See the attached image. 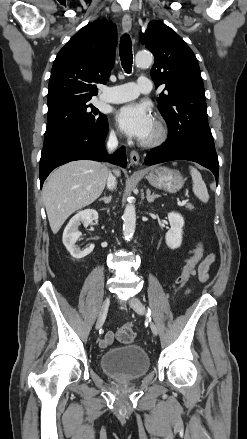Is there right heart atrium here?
<instances>
[{
  "instance_id": "d8ad5b80",
  "label": "right heart atrium",
  "mask_w": 247,
  "mask_h": 439,
  "mask_svg": "<svg viewBox=\"0 0 247 439\" xmlns=\"http://www.w3.org/2000/svg\"><path fill=\"white\" fill-rule=\"evenodd\" d=\"M112 134H113V135H116V134H117V132H116V131H112Z\"/></svg>"
}]
</instances>
